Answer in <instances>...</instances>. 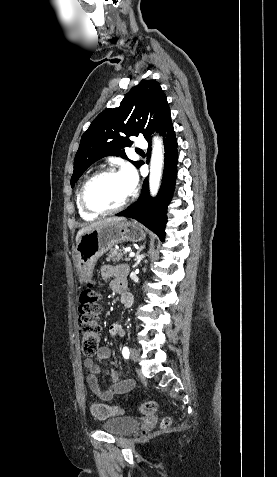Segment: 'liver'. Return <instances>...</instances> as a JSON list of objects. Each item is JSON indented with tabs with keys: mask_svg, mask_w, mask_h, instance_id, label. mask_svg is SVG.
Segmentation results:
<instances>
[{
	"mask_svg": "<svg viewBox=\"0 0 277 477\" xmlns=\"http://www.w3.org/2000/svg\"><path fill=\"white\" fill-rule=\"evenodd\" d=\"M123 220H125V218H123V217H112V218L103 219V220L94 222L90 225H87V226L81 228L78 231L77 236H76V242L79 240L80 236H82L84 233L92 230L93 228H95L97 226H100V225L108 223V222L123 221Z\"/></svg>",
	"mask_w": 277,
	"mask_h": 477,
	"instance_id": "6515ba94",
	"label": "liver"
}]
</instances>
